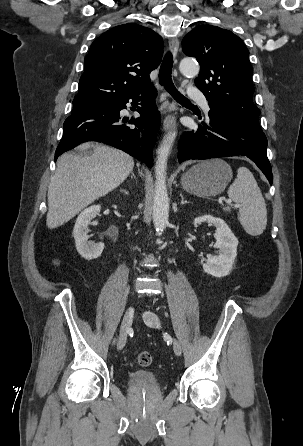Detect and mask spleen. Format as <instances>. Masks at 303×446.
Listing matches in <instances>:
<instances>
[{"instance_id":"3e777b00","label":"spleen","mask_w":303,"mask_h":446,"mask_svg":"<svg viewBox=\"0 0 303 446\" xmlns=\"http://www.w3.org/2000/svg\"><path fill=\"white\" fill-rule=\"evenodd\" d=\"M228 196L239 206V221L246 233L258 236L267 225V209L261 190L249 169L240 167ZM224 210L230 211L229 207Z\"/></svg>"}]
</instances>
